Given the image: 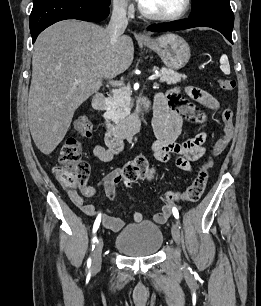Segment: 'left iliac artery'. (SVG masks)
<instances>
[{
	"instance_id": "1",
	"label": "left iliac artery",
	"mask_w": 261,
	"mask_h": 306,
	"mask_svg": "<svg viewBox=\"0 0 261 306\" xmlns=\"http://www.w3.org/2000/svg\"><path fill=\"white\" fill-rule=\"evenodd\" d=\"M173 215H174V217L176 218V219H178L179 218V212H178V210H177V208L176 207H173Z\"/></svg>"
}]
</instances>
